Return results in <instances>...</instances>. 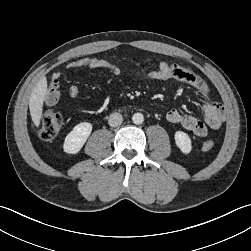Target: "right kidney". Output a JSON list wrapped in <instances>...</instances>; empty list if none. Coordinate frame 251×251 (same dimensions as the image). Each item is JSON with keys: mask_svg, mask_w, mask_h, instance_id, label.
<instances>
[{"mask_svg": "<svg viewBox=\"0 0 251 251\" xmlns=\"http://www.w3.org/2000/svg\"><path fill=\"white\" fill-rule=\"evenodd\" d=\"M92 131V124L88 122H81L77 124L73 130L68 133L64 140L63 149L68 154L78 153Z\"/></svg>", "mask_w": 251, "mask_h": 251, "instance_id": "1", "label": "right kidney"}]
</instances>
